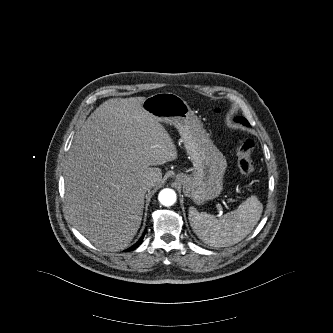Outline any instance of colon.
<instances>
[{"label": "colon", "instance_id": "1", "mask_svg": "<svg viewBox=\"0 0 333 333\" xmlns=\"http://www.w3.org/2000/svg\"><path fill=\"white\" fill-rule=\"evenodd\" d=\"M218 112V111H217ZM254 142L249 138H243L237 145L238 167L243 175L251 178L254 173V163L251 159V150Z\"/></svg>", "mask_w": 333, "mask_h": 333}]
</instances>
